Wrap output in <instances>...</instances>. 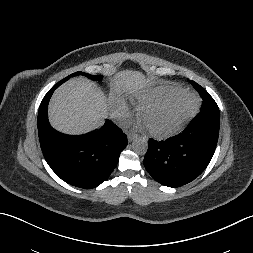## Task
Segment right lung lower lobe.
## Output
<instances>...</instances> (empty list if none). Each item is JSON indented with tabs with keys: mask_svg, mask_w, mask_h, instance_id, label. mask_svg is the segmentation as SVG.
I'll return each mask as SVG.
<instances>
[{
	"mask_svg": "<svg viewBox=\"0 0 253 253\" xmlns=\"http://www.w3.org/2000/svg\"><path fill=\"white\" fill-rule=\"evenodd\" d=\"M58 86L44 96L38 112V135L48 165L63 181L76 187L91 189L105 181L114 170L127 137L110 120L91 134H60L48 122L49 100Z\"/></svg>",
	"mask_w": 253,
	"mask_h": 253,
	"instance_id": "1",
	"label": "right lung lower lobe"
}]
</instances>
